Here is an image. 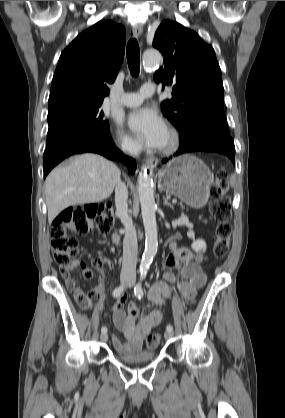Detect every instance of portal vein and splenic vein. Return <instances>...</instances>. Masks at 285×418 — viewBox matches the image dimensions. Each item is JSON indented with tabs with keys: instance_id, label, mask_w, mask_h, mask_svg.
I'll return each mask as SVG.
<instances>
[{
	"instance_id": "portal-vein-and-splenic-vein-1",
	"label": "portal vein and splenic vein",
	"mask_w": 285,
	"mask_h": 418,
	"mask_svg": "<svg viewBox=\"0 0 285 418\" xmlns=\"http://www.w3.org/2000/svg\"><path fill=\"white\" fill-rule=\"evenodd\" d=\"M172 202H173V203H176V202H177V200L173 199V200H172Z\"/></svg>"
}]
</instances>
